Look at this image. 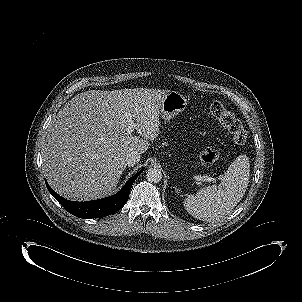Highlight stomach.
<instances>
[{
	"label": "stomach",
	"instance_id": "stomach-1",
	"mask_svg": "<svg viewBox=\"0 0 302 302\" xmlns=\"http://www.w3.org/2000/svg\"><path fill=\"white\" fill-rule=\"evenodd\" d=\"M187 99L184 95L176 91H169L160 105V115L164 120H170L174 116L183 112L187 107Z\"/></svg>",
	"mask_w": 302,
	"mask_h": 302
}]
</instances>
